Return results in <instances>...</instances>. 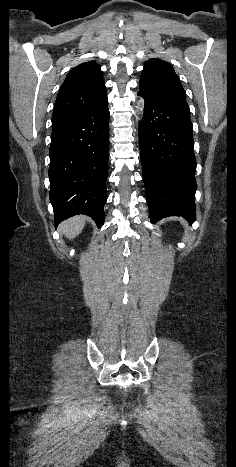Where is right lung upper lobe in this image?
Masks as SVG:
<instances>
[{
  "label": "right lung upper lobe",
  "mask_w": 236,
  "mask_h": 467,
  "mask_svg": "<svg viewBox=\"0 0 236 467\" xmlns=\"http://www.w3.org/2000/svg\"><path fill=\"white\" fill-rule=\"evenodd\" d=\"M102 72L95 62L74 67L67 75L55 101L52 125L78 116L106 99Z\"/></svg>",
  "instance_id": "right-lung-upper-lobe-1"
}]
</instances>
